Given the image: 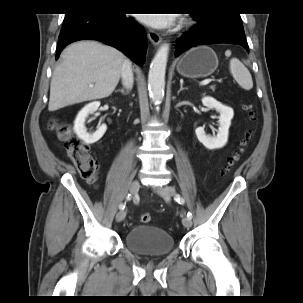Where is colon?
<instances>
[{"instance_id": "5ec220e1", "label": "colon", "mask_w": 303, "mask_h": 303, "mask_svg": "<svg viewBox=\"0 0 303 303\" xmlns=\"http://www.w3.org/2000/svg\"><path fill=\"white\" fill-rule=\"evenodd\" d=\"M245 109L248 111L250 119L254 121L255 115L252 111L251 106L246 105ZM49 129L59 134L62 142L65 145L66 151L70 159L76 164L81 176L85 178L89 183H96L98 180L99 162L96 157L90 154L88 146L77 139L71 128L59 123L55 119L50 122ZM251 138L252 134L248 133L245 136L244 140L249 141ZM237 160L238 157H235L233 161L229 163L228 167L224 170V172H228ZM150 220V213L146 212L140 215L141 223H148Z\"/></svg>"}]
</instances>
